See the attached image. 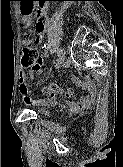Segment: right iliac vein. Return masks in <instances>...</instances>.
Returning <instances> with one entry per match:
<instances>
[{
	"instance_id": "obj_1",
	"label": "right iliac vein",
	"mask_w": 123,
	"mask_h": 167,
	"mask_svg": "<svg viewBox=\"0 0 123 167\" xmlns=\"http://www.w3.org/2000/svg\"><path fill=\"white\" fill-rule=\"evenodd\" d=\"M64 57H65V52H64V50H62V52L59 56V59H58L57 68H59L63 64Z\"/></svg>"
}]
</instances>
